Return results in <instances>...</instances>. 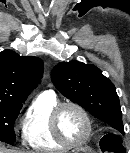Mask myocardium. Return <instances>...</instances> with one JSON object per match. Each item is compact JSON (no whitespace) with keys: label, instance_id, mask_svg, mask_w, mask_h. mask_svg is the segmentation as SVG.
Wrapping results in <instances>:
<instances>
[{"label":"myocardium","instance_id":"myocardium-1","mask_svg":"<svg viewBox=\"0 0 130 153\" xmlns=\"http://www.w3.org/2000/svg\"><path fill=\"white\" fill-rule=\"evenodd\" d=\"M68 107H72V108H75L76 110H78L82 114V116L84 117L86 124H87L86 135L83 138V140L78 143H74V142L67 140L60 130V126H59L60 114L62 113V111L65 108H68ZM50 127H51L52 133H53L54 137L56 138V140L60 144H62L63 146H65L69 149H78V148L85 146L89 142V140L92 136V132H93L92 119H91L88 111L79 103L72 102V101L59 103L52 110L51 115H50Z\"/></svg>","mask_w":130,"mask_h":153}]
</instances>
